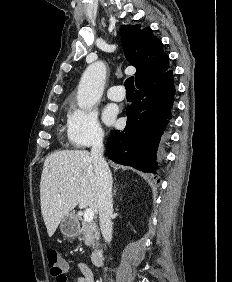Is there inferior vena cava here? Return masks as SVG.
I'll list each match as a JSON object with an SVG mask.
<instances>
[{
	"label": "inferior vena cava",
	"mask_w": 232,
	"mask_h": 282,
	"mask_svg": "<svg viewBox=\"0 0 232 282\" xmlns=\"http://www.w3.org/2000/svg\"><path fill=\"white\" fill-rule=\"evenodd\" d=\"M103 133H99L92 143L90 158L93 162L97 183V204L99 208V222L103 238L110 243L112 240L113 199L112 175L109 166L103 158Z\"/></svg>",
	"instance_id": "602c4592"
}]
</instances>
